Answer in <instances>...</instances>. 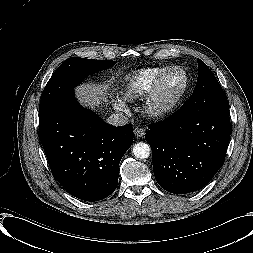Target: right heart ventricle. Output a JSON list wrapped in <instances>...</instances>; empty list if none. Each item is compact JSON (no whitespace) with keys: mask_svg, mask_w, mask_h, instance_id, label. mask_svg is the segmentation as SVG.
<instances>
[{"mask_svg":"<svg viewBox=\"0 0 253 253\" xmlns=\"http://www.w3.org/2000/svg\"><path fill=\"white\" fill-rule=\"evenodd\" d=\"M169 66L144 68L126 75L119 84L118 93L122 100L134 102L144 96L155 79Z\"/></svg>","mask_w":253,"mask_h":253,"instance_id":"obj_1","label":"right heart ventricle"}]
</instances>
